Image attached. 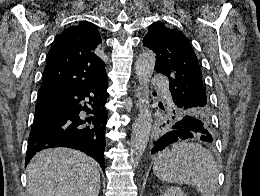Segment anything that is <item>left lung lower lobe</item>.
<instances>
[{
    "instance_id": "1",
    "label": "left lung lower lobe",
    "mask_w": 260,
    "mask_h": 196,
    "mask_svg": "<svg viewBox=\"0 0 260 196\" xmlns=\"http://www.w3.org/2000/svg\"><path fill=\"white\" fill-rule=\"evenodd\" d=\"M198 133L203 134L201 136L203 141L213 142V136L207 133L204 123L193 119H183L176 123L171 131L167 132L156 141L152 153L154 154L155 152L161 151L178 140L193 138Z\"/></svg>"
}]
</instances>
